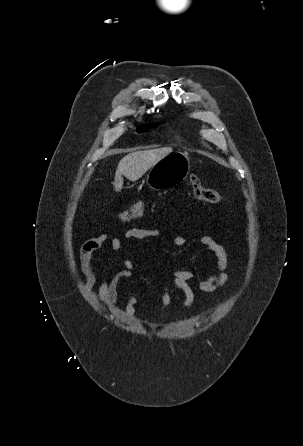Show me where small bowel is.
Wrapping results in <instances>:
<instances>
[{"label": "small bowel", "instance_id": "1", "mask_svg": "<svg viewBox=\"0 0 303 446\" xmlns=\"http://www.w3.org/2000/svg\"><path fill=\"white\" fill-rule=\"evenodd\" d=\"M163 234L161 229L132 228L127 230L122 238H111L107 234L87 239L80 247L79 262L85 275L83 287L90 291L96 283V274L94 271L93 254L98 251L105 241L110 240L111 249L120 251L125 246L126 240L144 241L158 238ZM187 240L183 236H175L172 239V245L175 249L183 248ZM199 244L210 250L216 258L215 266L212 272L200 282V288L204 291H213L216 288L225 285L229 280L228 258L226 249L218 243L213 237L205 235L199 239ZM122 269L114 276L106 278L99 288V300L107 308L115 306L118 296V285L122 279H129L134 271V263L129 259L121 262ZM193 277L191 269H176L172 277H167L163 284V293L161 297L160 310H165L171 303V292L173 289L180 291L184 296V310L189 309L194 302V293L187 281ZM138 298L136 294L131 293L123 309L126 316L131 319L136 317V305Z\"/></svg>", "mask_w": 303, "mask_h": 446}]
</instances>
